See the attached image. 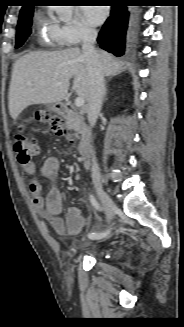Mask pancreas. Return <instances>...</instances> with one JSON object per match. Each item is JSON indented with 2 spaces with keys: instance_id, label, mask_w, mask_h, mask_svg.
Masks as SVG:
<instances>
[{
  "instance_id": "cf45deb5",
  "label": "pancreas",
  "mask_w": 184,
  "mask_h": 327,
  "mask_svg": "<svg viewBox=\"0 0 184 327\" xmlns=\"http://www.w3.org/2000/svg\"><path fill=\"white\" fill-rule=\"evenodd\" d=\"M66 124L68 129H72L77 132L76 137H78V134H83L80 126V121L77 117H68Z\"/></svg>"
}]
</instances>
